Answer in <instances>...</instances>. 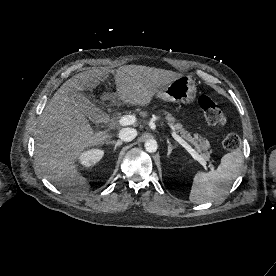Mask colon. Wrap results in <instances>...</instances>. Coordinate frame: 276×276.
Instances as JSON below:
<instances>
[{"label":"colon","mask_w":276,"mask_h":276,"mask_svg":"<svg viewBox=\"0 0 276 276\" xmlns=\"http://www.w3.org/2000/svg\"><path fill=\"white\" fill-rule=\"evenodd\" d=\"M200 108L203 111L206 121L213 126H224L227 122L226 115L218 107L216 102L208 95H201L198 99ZM240 138L236 134H229L223 141V146L229 151H236L240 148Z\"/></svg>","instance_id":"obj_1"}]
</instances>
